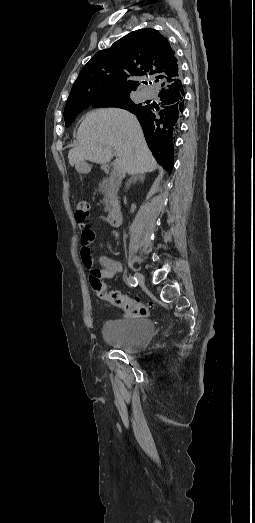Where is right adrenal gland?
I'll return each instance as SVG.
<instances>
[{
  "mask_svg": "<svg viewBox=\"0 0 255 523\" xmlns=\"http://www.w3.org/2000/svg\"><path fill=\"white\" fill-rule=\"evenodd\" d=\"M137 180H141V182H144L145 174H137V176H132V178H130V180H128L125 190H129L132 182H134V184H135V182H137Z\"/></svg>",
  "mask_w": 255,
  "mask_h": 523,
  "instance_id": "2a0ac1e0",
  "label": "right adrenal gland"
}]
</instances>
